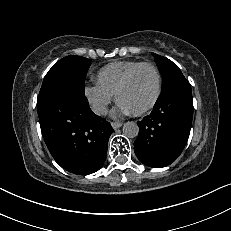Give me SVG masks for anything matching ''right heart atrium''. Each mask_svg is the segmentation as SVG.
I'll return each instance as SVG.
<instances>
[{
    "mask_svg": "<svg viewBox=\"0 0 231 231\" xmlns=\"http://www.w3.org/2000/svg\"><path fill=\"white\" fill-rule=\"evenodd\" d=\"M84 96L92 110L98 115H104L113 99V94L102 88L98 83L84 87Z\"/></svg>",
    "mask_w": 231,
    "mask_h": 231,
    "instance_id": "1",
    "label": "right heart atrium"
}]
</instances>
